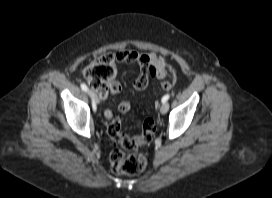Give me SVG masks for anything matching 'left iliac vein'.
<instances>
[{
	"mask_svg": "<svg viewBox=\"0 0 272 198\" xmlns=\"http://www.w3.org/2000/svg\"><path fill=\"white\" fill-rule=\"evenodd\" d=\"M169 110V104L168 103H162L160 106V112L161 114H166L167 111Z\"/></svg>",
	"mask_w": 272,
	"mask_h": 198,
	"instance_id": "left-iliac-vein-1",
	"label": "left iliac vein"
}]
</instances>
